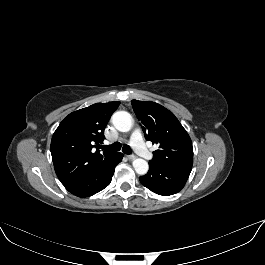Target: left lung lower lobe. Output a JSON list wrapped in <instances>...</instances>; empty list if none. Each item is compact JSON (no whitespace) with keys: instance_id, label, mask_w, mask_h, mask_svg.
<instances>
[{"instance_id":"left-lung-lower-lobe-1","label":"left lung lower lobe","mask_w":265,"mask_h":265,"mask_svg":"<svg viewBox=\"0 0 265 265\" xmlns=\"http://www.w3.org/2000/svg\"><path fill=\"white\" fill-rule=\"evenodd\" d=\"M192 167H162L149 164L146 175L139 177L140 182L151 191L169 196L179 192L185 185Z\"/></svg>"}]
</instances>
